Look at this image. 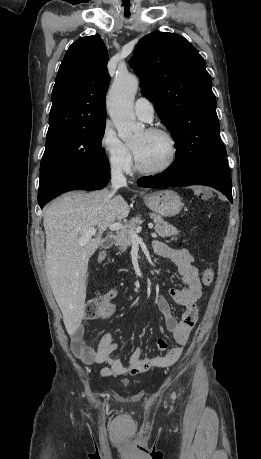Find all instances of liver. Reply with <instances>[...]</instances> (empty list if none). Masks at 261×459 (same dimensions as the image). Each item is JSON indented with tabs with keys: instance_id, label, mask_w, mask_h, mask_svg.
<instances>
[{
	"instance_id": "obj_1",
	"label": "liver",
	"mask_w": 261,
	"mask_h": 459,
	"mask_svg": "<svg viewBox=\"0 0 261 459\" xmlns=\"http://www.w3.org/2000/svg\"><path fill=\"white\" fill-rule=\"evenodd\" d=\"M113 194L107 189L69 192L44 212L46 275L69 335L84 316L89 258L101 245L104 231L130 212L124 198ZM91 227H97L98 234L81 246L77 240Z\"/></svg>"
}]
</instances>
